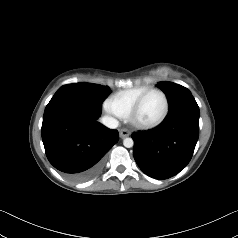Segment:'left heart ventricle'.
<instances>
[{
	"mask_svg": "<svg viewBox=\"0 0 238 238\" xmlns=\"http://www.w3.org/2000/svg\"><path fill=\"white\" fill-rule=\"evenodd\" d=\"M164 107L163 96L157 91L151 92L143 101L137 119L143 123L155 121L163 113Z\"/></svg>",
	"mask_w": 238,
	"mask_h": 238,
	"instance_id": "obj_1",
	"label": "left heart ventricle"
}]
</instances>
